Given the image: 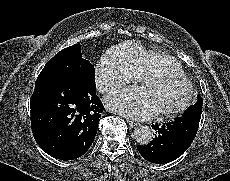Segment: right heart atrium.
I'll return each instance as SVG.
<instances>
[{
  "mask_svg": "<svg viewBox=\"0 0 230 181\" xmlns=\"http://www.w3.org/2000/svg\"><path fill=\"white\" fill-rule=\"evenodd\" d=\"M95 80L101 92H112L122 88L134 78L125 70L117 68L107 61V55L96 66Z\"/></svg>",
  "mask_w": 230,
  "mask_h": 181,
  "instance_id": "right-heart-atrium-1",
  "label": "right heart atrium"
}]
</instances>
